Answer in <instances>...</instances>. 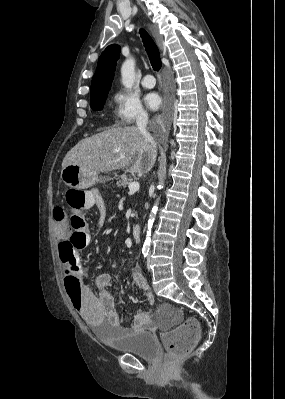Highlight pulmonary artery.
Masks as SVG:
<instances>
[{
    "label": "pulmonary artery",
    "mask_w": 285,
    "mask_h": 399,
    "mask_svg": "<svg viewBox=\"0 0 285 399\" xmlns=\"http://www.w3.org/2000/svg\"><path fill=\"white\" fill-rule=\"evenodd\" d=\"M141 84L145 88H153L155 86V79H154L153 75L150 72H147L143 76V78L141 80Z\"/></svg>",
    "instance_id": "pulmonary-artery-1"
}]
</instances>
